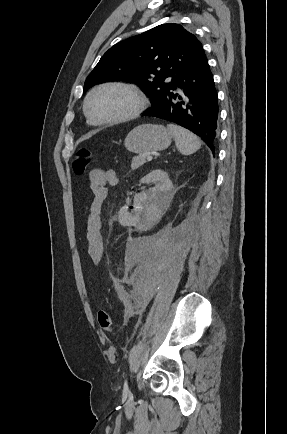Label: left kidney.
Here are the masks:
<instances>
[{"label":"left kidney","instance_id":"left-kidney-1","mask_svg":"<svg viewBox=\"0 0 287 434\" xmlns=\"http://www.w3.org/2000/svg\"><path fill=\"white\" fill-rule=\"evenodd\" d=\"M143 183H153L155 186L147 192L135 195V209L132 212L123 207L119 212V221L122 225H137L146 212L167 204L173 194V184L168 173L162 170H154L141 180Z\"/></svg>","mask_w":287,"mask_h":434}]
</instances>
